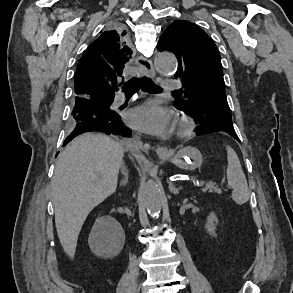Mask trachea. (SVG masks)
Returning a JSON list of instances; mask_svg holds the SVG:
<instances>
[{
  "label": "trachea",
  "mask_w": 293,
  "mask_h": 293,
  "mask_svg": "<svg viewBox=\"0 0 293 293\" xmlns=\"http://www.w3.org/2000/svg\"><path fill=\"white\" fill-rule=\"evenodd\" d=\"M139 88L150 93H157L161 91V89L153 85L146 76L142 78H132L123 86V90L126 95L134 94L139 90Z\"/></svg>",
  "instance_id": "3493384b"
}]
</instances>
